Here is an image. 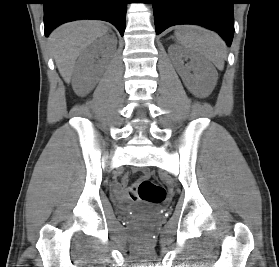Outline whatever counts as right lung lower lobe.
I'll list each match as a JSON object with an SVG mask.
<instances>
[{"label":"right lung lower lobe","instance_id":"98d812e1","mask_svg":"<svg viewBox=\"0 0 279 267\" xmlns=\"http://www.w3.org/2000/svg\"><path fill=\"white\" fill-rule=\"evenodd\" d=\"M45 36L57 26L77 19L112 23L123 36L127 0H43Z\"/></svg>","mask_w":279,"mask_h":267}]
</instances>
